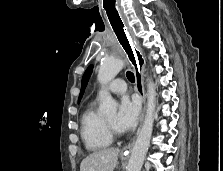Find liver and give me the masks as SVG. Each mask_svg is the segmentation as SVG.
<instances>
[{"instance_id": "obj_1", "label": "liver", "mask_w": 223, "mask_h": 171, "mask_svg": "<svg viewBox=\"0 0 223 171\" xmlns=\"http://www.w3.org/2000/svg\"><path fill=\"white\" fill-rule=\"evenodd\" d=\"M118 148L98 150L80 164V171H113L118 162Z\"/></svg>"}]
</instances>
